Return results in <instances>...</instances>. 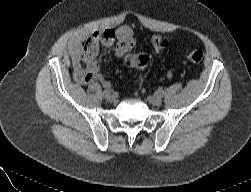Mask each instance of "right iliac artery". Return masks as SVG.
<instances>
[{"label": "right iliac artery", "mask_w": 251, "mask_h": 192, "mask_svg": "<svg viewBox=\"0 0 251 192\" xmlns=\"http://www.w3.org/2000/svg\"><path fill=\"white\" fill-rule=\"evenodd\" d=\"M111 88L110 87H106V89L104 90V92H103V95L105 96V97H107L109 94H111Z\"/></svg>", "instance_id": "obj_1"}]
</instances>
